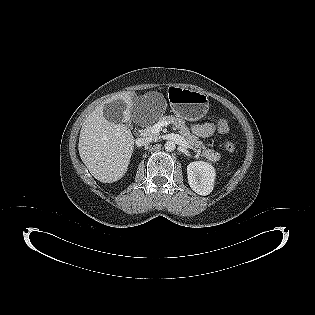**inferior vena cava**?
<instances>
[{
    "label": "inferior vena cava",
    "instance_id": "602c4592",
    "mask_svg": "<svg viewBox=\"0 0 315 315\" xmlns=\"http://www.w3.org/2000/svg\"><path fill=\"white\" fill-rule=\"evenodd\" d=\"M152 141H154L153 137L146 136V137L138 138L136 140V144L138 146H145V145H148L149 143H151Z\"/></svg>",
    "mask_w": 315,
    "mask_h": 315
}]
</instances>
